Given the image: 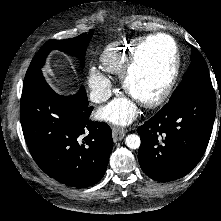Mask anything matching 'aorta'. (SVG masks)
<instances>
[{
  "instance_id": "aorta-1",
  "label": "aorta",
  "mask_w": 221,
  "mask_h": 221,
  "mask_svg": "<svg viewBox=\"0 0 221 221\" xmlns=\"http://www.w3.org/2000/svg\"><path fill=\"white\" fill-rule=\"evenodd\" d=\"M125 144L130 149H137L141 144L140 137L136 134H129L125 139Z\"/></svg>"
}]
</instances>
